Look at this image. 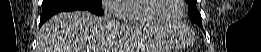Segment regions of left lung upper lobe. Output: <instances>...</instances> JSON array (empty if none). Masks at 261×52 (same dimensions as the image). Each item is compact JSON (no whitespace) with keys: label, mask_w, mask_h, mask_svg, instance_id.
<instances>
[{"label":"left lung upper lobe","mask_w":261,"mask_h":52,"mask_svg":"<svg viewBox=\"0 0 261 52\" xmlns=\"http://www.w3.org/2000/svg\"><path fill=\"white\" fill-rule=\"evenodd\" d=\"M188 4V13L191 21L196 22L199 26L202 27V18L196 7L197 0H186Z\"/></svg>","instance_id":"left-lung-upper-lobe-1"}]
</instances>
